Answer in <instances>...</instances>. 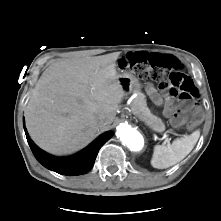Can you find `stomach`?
<instances>
[{"label":"stomach","mask_w":221,"mask_h":221,"mask_svg":"<svg viewBox=\"0 0 221 221\" xmlns=\"http://www.w3.org/2000/svg\"><path fill=\"white\" fill-rule=\"evenodd\" d=\"M118 82L121 84L125 92H131L134 90H140L141 84L132 73L121 70L118 74Z\"/></svg>","instance_id":"1"}]
</instances>
